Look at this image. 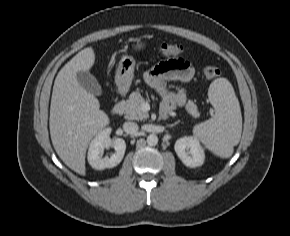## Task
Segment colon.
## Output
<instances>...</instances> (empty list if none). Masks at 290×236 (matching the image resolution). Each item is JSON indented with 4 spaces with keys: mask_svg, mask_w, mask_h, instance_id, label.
<instances>
[{
    "mask_svg": "<svg viewBox=\"0 0 290 236\" xmlns=\"http://www.w3.org/2000/svg\"><path fill=\"white\" fill-rule=\"evenodd\" d=\"M159 51L164 57H175L182 53L183 47L179 43H164L160 46ZM220 73L219 68L214 65H207L204 68V75L210 79L218 77Z\"/></svg>",
    "mask_w": 290,
    "mask_h": 236,
    "instance_id": "1",
    "label": "colon"
}]
</instances>
